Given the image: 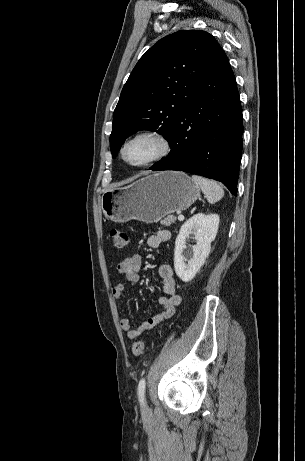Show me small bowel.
I'll use <instances>...</instances> for the list:
<instances>
[{"label": "small bowel", "mask_w": 305, "mask_h": 461, "mask_svg": "<svg viewBox=\"0 0 305 461\" xmlns=\"http://www.w3.org/2000/svg\"><path fill=\"white\" fill-rule=\"evenodd\" d=\"M171 233L167 229H160L155 234L151 235L147 240V245L151 249H158L160 246L169 241ZM142 267V258L138 254L123 258L117 264V271L122 275L128 284L134 285L139 281V272ZM159 275L162 279L163 296L159 299L161 309L151 314L146 320L140 322L135 327H131L130 320L123 317L120 320V327L127 333L129 339L133 340L141 336L148 330H151L156 325L169 319L175 312L176 307L181 302V296L176 289V281L173 270L170 265H161L159 267ZM126 285L123 283L116 284L112 288V296L116 300H122Z\"/></svg>", "instance_id": "small-bowel-1"}]
</instances>
